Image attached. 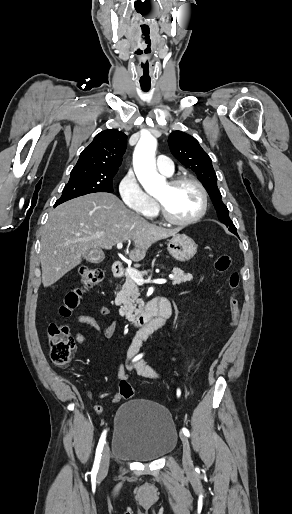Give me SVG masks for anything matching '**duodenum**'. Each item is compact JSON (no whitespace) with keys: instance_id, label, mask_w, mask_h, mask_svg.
Returning a JSON list of instances; mask_svg holds the SVG:
<instances>
[{"instance_id":"obj_1","label":"duodenum","mask_w":292,"mask_h":514,"mask_svg":"<svg viewBox=\"0 0 292 514\" xmlns=\"http://www.w3.org/2000/svg\"><path fill=\"white\" fill-rule=\"evenodd\" d=\"M112 273L115 278H122L125 275V269L121 264L115 263ZM171 315L170 301L165 296H156L144 305L141 312L129 322V326L141 329L144 333H151L165 328L166 326H160V322Z\"/></svg>"}]
</instances>
